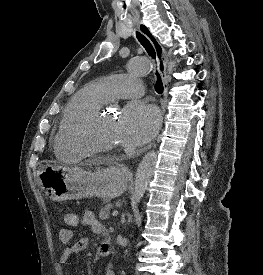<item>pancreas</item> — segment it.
Listing matches in <instances>:
<instances>
[{
	"label": "pancreas",
	"mask_w": 263,
	"mask_h": 275,
	"mask_svg": "<svg viewBox=\"0 0 263 275\" xmlns=\"http://www.w3.org/2000/svg\"><path fill=\"white\" fill-rule=\"evenodd\" d=\"M103 203L107 205L101 208L99 211V218L101 220L108 219L110 217V210L112 209V204L109 203L108 199H103Z\"/></svg>",
	"instance_id": "cf45deb5"
}]
</instances>
